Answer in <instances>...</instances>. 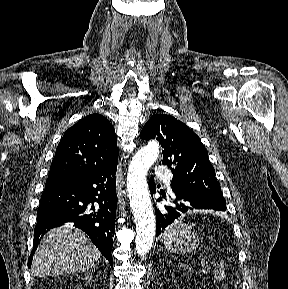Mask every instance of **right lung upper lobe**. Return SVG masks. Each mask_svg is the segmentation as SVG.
Wrapping results in <instances>:
<instances>
[{"label":"right lung upper lobe","mask_w":288,"mask_h":289,"mask_svg":"<svg viewBox=\"0 0 288 289\" xmlns=\"http://www.w3.org/2000/svg\"><path fill=\"white\" fill-rule=\"evenodd\" d=\"M118 161L115 130L99 114L84 117L63 135L46 183L91 173Z\"/></svg>","instance_id":"right-lung-upper-lobe-1"}]
</instances>
